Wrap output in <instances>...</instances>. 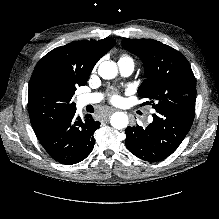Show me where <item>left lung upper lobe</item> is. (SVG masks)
Returning <instances> with one entry per match:
<instances>
[{"label":"left lung upper lobe","instance_id":"obj_1","mask_svg":"<svg viewBox=\"0 0 219 219\" xmlns=\"http://www.w3.org/2000/svg\"><path fill=\"white\" fill-rule=\"evenodd\" d=\"M126 50L139 56L145 66L138 94L155 110L195 104L196 81L189 62L177 50L151 39H123Z\"/></svg>","mask_w":219,"mask_h":219}]
</instances>
